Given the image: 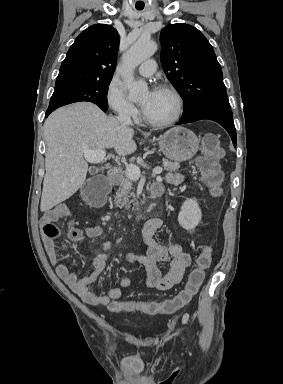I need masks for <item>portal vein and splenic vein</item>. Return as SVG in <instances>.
Returning <instances> with one entry per match:
<instances>
[{"instance_id": "portal-vein-and-splenic-vein-1", "label": "portal vein and splenic vein", "mask_w": 283, "mask_h": 384, "mask_svg": "<svg viewBox=\"0 0 283 384\" xmlns=\"http://www.w3.org/2000/svg\"><path fill=\"white\" fill-rule=\"evenodd\" d=\"M105 156V150H86V152H84V158L87 162H90V164H100V162H104ZM161 172L162 168H154L153 170V174H161ZM126 174L130 180H139L141 176V172L135 164H128Z\"/></svg>"}]
</instances>
